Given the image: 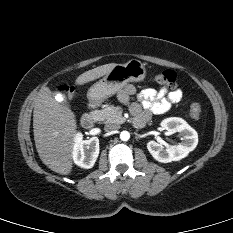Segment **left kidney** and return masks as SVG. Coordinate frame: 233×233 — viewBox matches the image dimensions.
Returning <instances> with one entry per match:
<instances>
[{
    "mask_svg": "<svg viewBox=\"0 0 233 233\" xmlns=\"http://www.w3.org/2000/svg\"><path fill=\"white\" fill-rule=\"evenodd\" d=\"M163 130L168 133L178 132L183 140L178 145L164 149V146L155 141L147 143V149L152 157L158 162L169 163L185 158L189 152L193 151L198 144L197 132L182 118L172 117L161 122Z\"/></svg>",
    "mask_w": 233,
    "mask_h": 233,
    "instance_id": "1",
    "label": "left kidney"
}]
</instances>
